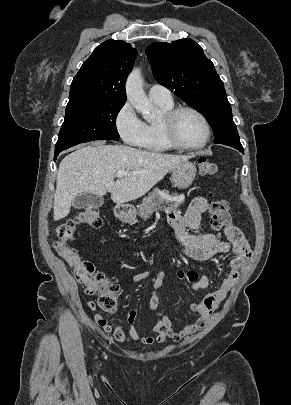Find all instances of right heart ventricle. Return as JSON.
Wrapping results in <instances>:
<instances>
[{
    "label": "right heart ventricle",
    "mask_w": 291,
    "mask_h": 405,
    "mask_svg": "<svg viewBox=\"0 0 291 405\" xmlns=\"http://www.w3.org/2000/svg\"><path fill=\"white\" fill-rule=\"evenodd\" d=\"M154 102L159 108L161 116L156 121H150L145 123L144 137L140 147L150 152H165L173 150L174 147H172L168 143L162 129V117L172 108H174L173 101L171 102L154 101Z\"/></svg>",
    "instance_id": "right-heart-ventricle-1"
}]
</instances>
